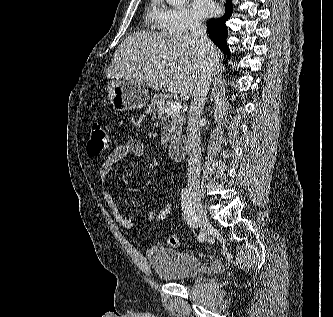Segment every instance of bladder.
Masks as SVG:
<instances>
[{
    "label": "bladder",
    "mask_w": 333,
    "mask_h": 317,
    "mask_svg": "<svg viewBox=\"0 0 333 317\" xmlns=\"http://www.w3.org/2000/svg\"><path fill=\"white\" fill-rule=\"evenodd\" d=\"M146 256L154 273L166 281L189 280L202 270V262L197 256L162 245L148 248Z\"/></svg>",
    "instance_id": "31cf9c89"
}]
</instances>
